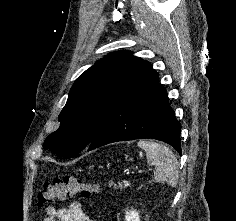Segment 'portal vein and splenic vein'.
I'll list each match as a JSON object with an SVG mask.
<instances>
[{"label":"portal vein and splenic vein","instance_id":"portal-vein-and-splenic-vein-1","mask_svg":"<svg viewBox=\"0 0 236 221\" xmlns=\"http://www.w3.org/2000/svg\"><path fill=\"white\" fill-rule=\"evenodd\" d=\"M142 172H143L142 169H139V170H138V173H142ZM124 185L127 186V185H128V181H124Z\"/></svg>","mask_w":236,"mask_h":221}]
</instances>
